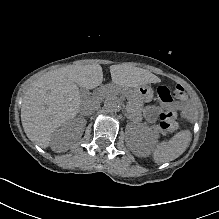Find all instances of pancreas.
<instances>
[{"mask_svg": "<svg viewBox=\"0 0 219 219\" xmlns=\"http://www.w3.org/2000/svg\"><path fill=\"white\" fill-rule=\"evenodd\" d=\"M104 90V96L107 99H114L117 95L121 97H126L128 101V116L131 119L134 120H139L142 117V112H141V104H142V99L139 94H136L132 90H127L126 87L121 86L118 87L117 85L113 84L111 86L106 87Z\"/></svg>", "mask_w": 219, "mask_h": 219, "instance_id": "pancreas-1", "label": "pancreas"}]
</instances>
